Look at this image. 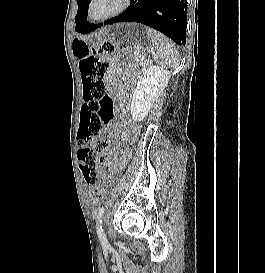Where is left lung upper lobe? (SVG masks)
<instances>
[{"instance_id":"5c2ea615","label":"left lung upper lobe","mask_w":265,"mask_h":273,"mask_svg":"<svg viewBox=\"0 0 265 273\" xmlns=\"http://www.w3.org/2000/svg\"><path fill=\"white\" fill-rule=\"evenodd\" d=\"M91 0H77L78 12L75 17L76 27L75 30L78 32L84 23L87 22L86 17L88 15V5Z\"/></svg>"}]
</instances>
